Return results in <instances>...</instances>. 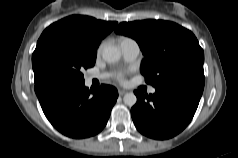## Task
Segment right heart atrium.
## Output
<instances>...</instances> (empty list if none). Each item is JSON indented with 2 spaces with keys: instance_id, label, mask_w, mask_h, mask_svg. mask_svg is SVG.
Returning a JSON list of instances; mask_svg holds the SVG:
<instances>
[{
  "instance_id": "d8ad5b80",
  "label": "right heart atrium",
  "mask_w": 238,
  "mask_h": 158,
  "mask_svg": "<svg viewBox=\"0 0 238 158\" xmlns=\"http://www.w3.org/2000/svg\"><path fill=\"white\" fill-rule=\"evenodd\" d=\"M101 48H102V46L99 47L98 52H100Z\"/></svg>"
}]
</instances>
